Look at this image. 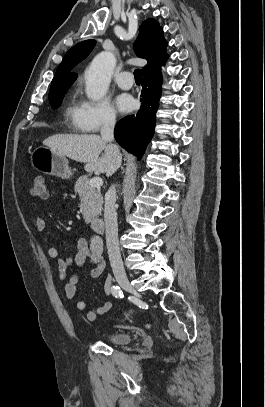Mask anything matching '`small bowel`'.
I'll use <instances>...</instances> for the list:
<instances>
[{"mask_svg": "<svg viewBox=\"0 0 265 407\" xmlns=\"http://www.w3.org/2000/svg\"><path fill=\"white\" fill-rule=\"evenodd\" d=\"M34 225L37 231H43L45 229V220L42 217L38 216L35 219ZM47 254L50 258L56 260L61 277L67 278L64 293L65 297L68 300H72L75 297L77 291V275L68 276L69 269L73 263L77 266H82L85 263H89L91 265V269L89 271V276L91 278L100 277L105 270V262L102 256V249L100 247V243L97 240L93 241L92 244L88 246L84 238H79L77 242V250L75 256L72 259L60 257L57 249L54 247L48 248ZM111 289V279L109 276H107L104 282V291L106 296L110 295ZM111 307L112 302L110 300H106L102 305L87 312V320L90 322H95L100 315L108 312ZM76 309L78 311H84L86 309L85 301H78L76 303Z\"/></svg>", "mask_w": 265, "mask_h": 407, "instance_id": "c3829d8e", "label": "small bowel"}]
</instances>
